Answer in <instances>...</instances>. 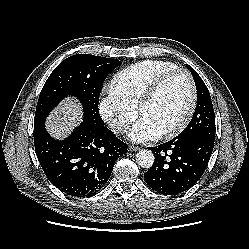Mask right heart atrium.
<instances>
[{
  "mask_svg": "<svg viewBox=\"0 0 249 249\" xmlns=\"http://www.w3.org/2000/svg\"><path fill=\"white\" fill-rule=\"evenodd\" d=\"M98 111L115 133L126 131L137 115L136 109L117 96L112 89L104 91L100 96Z\"/></svg>",
  "mask_w": 249,
  "mask_h": 249,
  "instance_id": "right-heart-atrium-1",
  "label": "right heart atrium"
}]
</instances>
